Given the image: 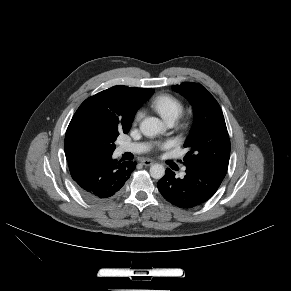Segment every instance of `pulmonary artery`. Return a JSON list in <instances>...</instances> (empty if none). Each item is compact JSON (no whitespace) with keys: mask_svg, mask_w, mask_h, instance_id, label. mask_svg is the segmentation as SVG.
Here are the masks:
<instances>
[{"mask_svg":"<svg viewBox=\"0 0 291 291\" xmlns=\"http://www.w3.org/2000/svg\"><path fill=\"white\" fill-rule=\"evenodd\" d=\"M169 126H172L174 121H167ZM149 149V145L146 143H124L120 146V152H132V153H142Z\"/></svg>","mask_w":291,"mask_h":291,"instance_id":"obj_1","label":"pulmonary artery"}]
</instances>
